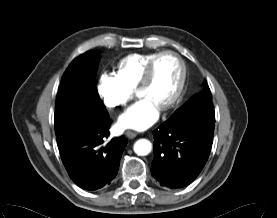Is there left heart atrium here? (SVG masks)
<instances>
[{
    "mask_svg": "<svg viewBox=\"0 0 277 218\" xmlns=\"http://www.w3.org/2000/svg\"><path fill=\"white\" fill-rule=\"evenodd\" d=\"M159 113V107L151 99L142 97L119 116L118 126L144 130L156 122Z\"/></svg>",
    "mask_w": 277,
    "mask_h": 218,
    "instance_id": "1",
    "label": "left heart atrium"
}]
</instances>
